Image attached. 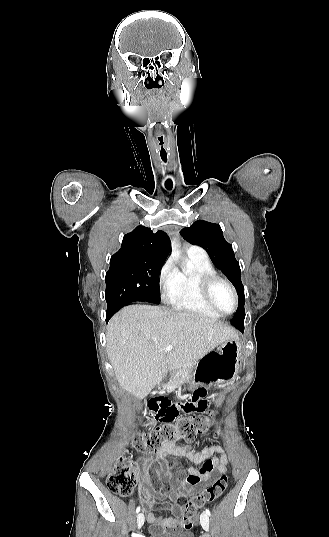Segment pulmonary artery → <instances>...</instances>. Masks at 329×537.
I'll list each match as a JSON object with an SVG mask.
<instances>
[{"label":"pulmonary artery","instance_id":"obj_1","mask_svg":"<svg viewBox=\"0 0 329 537\" xmlns=\"http://www.w3.org/2000/svg\"><path fill=\"white\" fill-rule=\"evenodd\" d=\"M187 253L193 256L207 257L205 250L199 246L192 245L188 248Z\"/></svg>","mask_w":329,"mask_h":537}]
</instances>
